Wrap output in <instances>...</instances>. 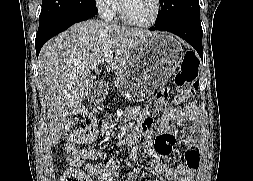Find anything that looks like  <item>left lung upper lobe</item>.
<instances>
[{
	"mask_svg": "<svg viewBox=\"0 0 253 181\" xmlns=\"http://www.w3.org/2000/svg\"><path fill=\"white\" fill-rule=\"evenodd\" d=\"M155 25L180 21H199L198 0H160Z\"/></svg>",
	"mask_w": 253,
	"mask_h": 181,
	"instance_id": "1",
	"label": "left lung upper lobe"
}]
</instances>
